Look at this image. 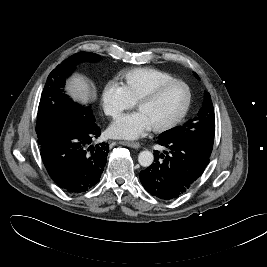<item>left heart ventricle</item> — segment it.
<instances>
[{"instance_id":"obj_1","label":"left heart ventricle","mask_w":267,"mask_h":267,"mask_svg":"<svg viewBox=\"0 0 267 267\" xmlns=\"http://www.w3.org/2000/svg\"><path fill=\"white\" fill-rule=\"evenodd\" d=\"M187 93L183 86L172 85L154 100L142 104L141 112L151 127L159 126L175 119L185 106Z\"/></svg>"}]
</instances>
